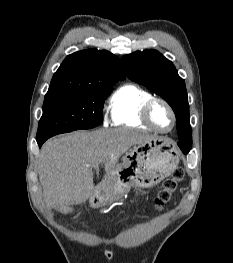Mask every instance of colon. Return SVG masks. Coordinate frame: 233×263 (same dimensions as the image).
<instances>
[{
    "instance_id": "5ec220e1",
    "label": "colon",
    "mask_w": 233,
    "mask_h": 263,
    "mask_svg": "<svg viewBox=\"0 0 233 263\" xmlns=\"http://www.w3.org/2000/svg\"><path fill=\"white\" fill-rule=\"evenodd\" d=\"M184 177V171L182 168H177L173 175L167 178L161 190L159 191L157 198L155 200V208L161 210L166 203L171 200L173 193L177 190L179 183Z\"/></svg>"
}]
</instances>
